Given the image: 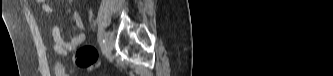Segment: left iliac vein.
<instances>
[{
    "instance_id": "left-iliac-vein-1",
    "label": "left iliac vein",
    "mask_w": 333,
    "mask_h": 76,
    "mask_svg": "<svg viewBox=\"0 0 333 76\" xmlns=\"http://www.w3.org/2000/svg\"><path fill=\"white\" fill-rule=\"evenodd\" d=\"M104 39V50L106 53H111L114 45V34L111 31H106Z\"/></svg>"
}]
</instances>
